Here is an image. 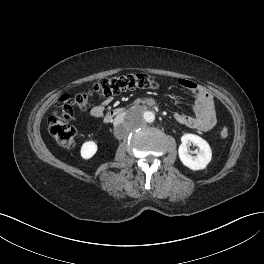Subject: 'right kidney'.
Here are the masks:
<instances>
[{
  "instance_id": "right-kidney-1",
  "label": "right kidney",
  "mask_w": 264,
  "mask_h": 264,
  "mask_svg": "<svg viewBox=\"0 0 264 264\" xmlns=\"http://www.w3.org/2000/svg\"><path fill=\"white\" fill-rule=\"evenodd\" d=\"M97 144L95 141H86L83 143V145L81 146V157L84 159H90L91 157H93L95 155V153L97 152Z\"/></svg>"
}]
</instances>
